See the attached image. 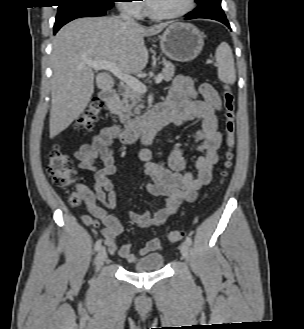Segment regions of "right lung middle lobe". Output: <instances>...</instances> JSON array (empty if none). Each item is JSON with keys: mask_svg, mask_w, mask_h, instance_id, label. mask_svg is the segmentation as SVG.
I'll return each mask as SVG.
<instances>
[{"mask_svg": "<svg viewBox=\"0 0 304 329\" xmlns=\"http://www.w3.org/2000/svg\"><path fill=\"white\" fill-rule=\"evenodd\" d=\"M57 17L79 9H111L114 0H58Z\"/></svg>", "mask_w": 304, "mask_h": 329, "instance_id": "1", "label": "right lung middle lobe"}]
</instances>
